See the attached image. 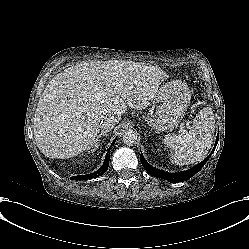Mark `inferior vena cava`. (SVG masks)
<instances>
[{
    "label": "inferior vena cava",
    "instance_id": "obj_1",
    "mask_svg": "<svg viewBox=\"0 0 249 249\" xmlns=\"http://www.w3.org/2000/svg\"><path fill=\"white\" fill-rule=\"evenodd\" d=\"M116 123H118V120L115 118L106 119L101 123V130L108 132L114 128Z\"/></svg>",
    "mask_w": 249,
    "mask_h": 249
}]
</instances>
